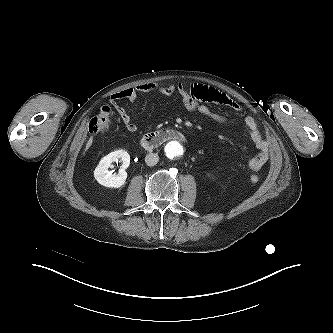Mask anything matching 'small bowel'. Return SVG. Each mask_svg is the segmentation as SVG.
I'll return each instance as SVG.
<instances>
[{
  "mask_svg": "<svg viewBox=\"0 0 333 333\" xmlns=\"http://www.w3.org/2000/svg\"><path fill=\"white\" fill-rule=\"evenodd\" d=\"M146 93L164 96L176 95L186 110L197 112L221 124L227 123L229 117L212 110L209 104L223 105L235 111H241V107L234 100L212 87L201 84H192L191 86L186 87L181 83L169 85L146 83L120 90L110 96V101L116 108L125 128L130 132H135L137 130V125L119 104V101H135L142 94ZM244 121L249 130L252 142L259 150L258 154L249 161L248 166L252 171H258L269 160L270 144L267 139L262 136L257 122L252 116H246Z\"/></svg>",
  "mask_w": 333,
  "mask_h": 333,
  "instance_id": "small-bowel-1",
  "label": "small bowel"
}]
</instances>
